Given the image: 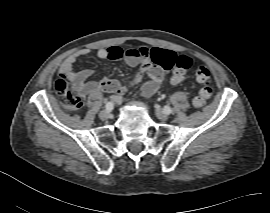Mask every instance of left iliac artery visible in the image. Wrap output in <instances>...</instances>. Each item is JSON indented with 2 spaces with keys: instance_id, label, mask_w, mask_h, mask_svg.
<instances>
[{
  "instance_id": "left-iliac-artery-1",
  "label": "left iliac artery",
  "mask_w": 270,
  "mask_h": 213,
  "mask_svg": "<svg viewBox=\"0 0 270 213\" xmlns=\"http://www.w3.org/2000/svg\"><path fill=\"white\" fill-rule=\"evenodd\" d=\"M163 112L165 114L169 115L172 112V110H171V108L169 106H165L164 109H163Z\"/></svg>"
}]
</instances>
